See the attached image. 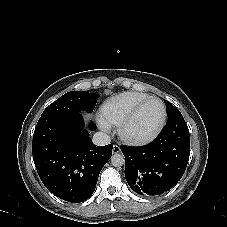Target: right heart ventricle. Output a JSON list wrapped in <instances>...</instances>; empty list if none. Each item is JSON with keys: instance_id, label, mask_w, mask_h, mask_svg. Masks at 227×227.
<instances>
[{"instance_id": "right-heart-ventricle-1", "label": "right heart ventricle", "mask_w": 227, "mask_h": 227, "mask_svg": "<svg viewBox=\"0 0 227 227\" xmlns=\"http://www.w3.org/2000/svg\"><path fill=\"white\" fill-rule=\"evenodd\" d=\"M146 93L124 92L105 101L100 117L110 124H120L141 102L149 98Z\"/></svg>"}]
</instances>
